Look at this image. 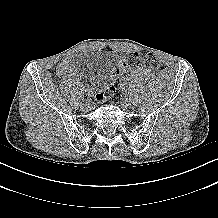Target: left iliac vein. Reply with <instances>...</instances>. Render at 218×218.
I'll list each match as a JSON object with an SVG mask.
<instances>
[{
    "label": "left iliac vein",
    "instance_id": "left-iliac-vein-1",
    "mask_svg": "<svg viewBox=\"0 0 218 218\" xmlns=\"http://www.w3.org/2000/svg\"><path fill=\"white\" fill-rule=\"evenodd\" d=\"M122 106L125 109H128L131 106V101L129 99H127V98L123 99L122 100Z\"/></svg>",
    "mask_w": 218,
    "mask_h": 218
}]
</instances>
